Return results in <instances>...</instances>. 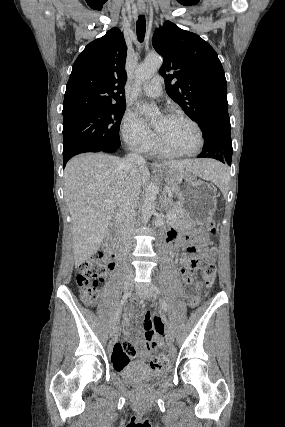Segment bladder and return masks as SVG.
<instances>
[{"label": "bladder", "mask_w": 285, "mask_h": 427, "mask_svg": "<svg viewBox=\"0 0 285 427\" xmlns=\"http://www.w3.org/2000/svg\"><path fill=\"white\" fill-rule=\"evenodd\" d=\"M121 379L137 388H147L162 381L165 372H153L141 363H130L115 372Z\"/></svg>", "instance_id": "obj_1"}]
</instances>
